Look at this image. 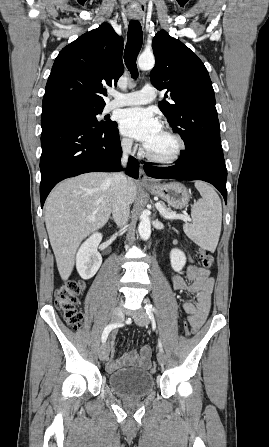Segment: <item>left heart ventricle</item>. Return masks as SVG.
<instances>
[{
	"label": "left heart ventricle",
	"instance_id": "1",
	"mask_svg": "<svg viewBox=\"0 0 269 447\" xmlns=\"http://www.w3.org/2000/svg\"><path fill=\"white\" fill-rule=\"evenodd\" d=\"M145 147L152 156L157 158H167L171 156L177 148V141L164 128H161Z\"/></svg>",
	"mask_w": 269,
	"mask_h": 447
}]
</instances>
